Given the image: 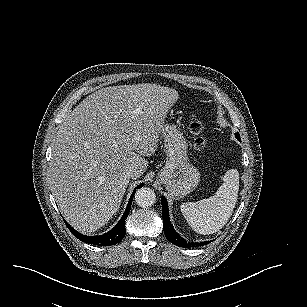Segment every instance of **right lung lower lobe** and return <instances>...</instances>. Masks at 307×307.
Wrapping results in <instances>:
<instances>
[{
  "label": "right lung lower lobe",
  "instance_id": "1",
  "mask_svg": "<svg viewBox=\"0 0 307 307\" xmlns=\"http://www.w3.org/2000/svg\"><path fill=\"white\" fill-rule=\"evenodd\" d=\"M143 186V184H140L135 188L133 193L131 194V197L129 199L128 205L126 207V210L120 219V221L116 224L115 227H113L109 232L103 234V235H98V236H85L74 230L66 221L65 224L67 225L68 229L82 242L96 245V246H111L114 244H117L120 242L124 236H125V218H127V215L130 211L131 208V203L133 200V196L136 192V189H139Z\"/></svg>",
  "mask_w": 307,
  "mask_h": 307
}]
</instances>
